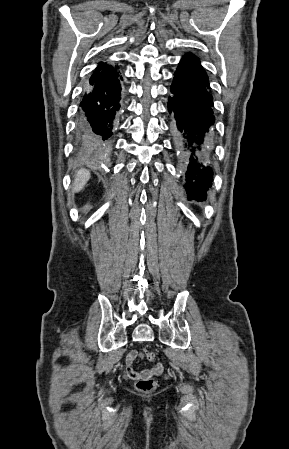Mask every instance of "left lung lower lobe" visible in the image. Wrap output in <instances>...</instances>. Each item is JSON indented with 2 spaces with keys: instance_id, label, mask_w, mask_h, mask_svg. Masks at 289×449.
<instances>
[{
  "instance_id": "0a47b994",
  "label": "left lung lower lobe",
  "mask_w": 289,
  "mask_h": 449,
  "mask_svg": "<svg viewBox=\"0 0 289 449\" xmlns=\"http://www.w3.org/2000/svg\"><path fill=\"white\" fill-rule=\"evenodd\" d=\"M209 81L199 59L187 54L174 74L168 110L174 119L172 134L178 150L188 155L186 172L188 198L203 201L213 182V170L203 163L210 146L209 133L214 125Z\"/></svg>"
}]
</instances>
